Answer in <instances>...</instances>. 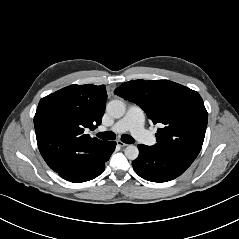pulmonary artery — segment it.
I'll return each instance as SVG.
<instances>
[{"label":"pulmonary artery","instance_id":"1","mask_svg":"<svg viewBox=\"0 0 239 239\" xmlns=\"http://www.w3.org/2000/svg\"><path fill=\"white\" fill-rule=\"evenodd\" d=\"M105 130L104 128L101 129ZM109 130L115 133L130 131L141 143L154 145L156 138L144 127V113L138 106H130L125 116L117 121Z\"/></svg>","mask_w":239,"mask_h":239}]
</instances>
